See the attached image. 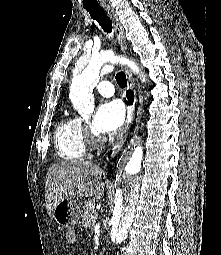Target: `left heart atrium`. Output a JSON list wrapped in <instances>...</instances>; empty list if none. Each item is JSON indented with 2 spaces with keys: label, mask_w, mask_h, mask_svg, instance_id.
<instances>
[{
  "label": "left heart atrium",
  "mask_w": 221,
  "mask_h": 255,
  "mask_svg": "<svg viewBox=\"0 0 221 255\" xmlns=\"http://www.w3.org/2000/svg\"><path fill=\"white\" fill-rule=\"evenodd\" d=\"M124 108L118 101L102 103L94 116V129L99 134H112L122 125Z\"/></svg>",
  "instance_id": "left-heart-atrium-1"
}]
</instances>
